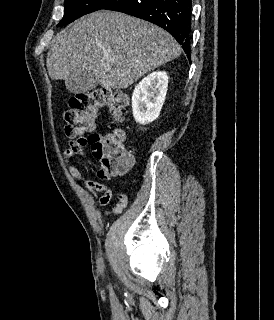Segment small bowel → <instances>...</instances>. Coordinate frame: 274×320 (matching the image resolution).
<instances>
[{"label":"small bowel","mask_w":274,"mask_h":320,"mask_svg":"<svg viewBox=\"0 0 274 320\" xmlns=\"http://www.w3.org/2000/svg\"><path fill=\"white\" fill-rule=\"evenodd\" d=\"M87 130L88 131H95L96 130V119H87ZM90 144L89 138L87 137H78L76 139H72L68 142L66 148L63 152L64 161L67 165V169L72 176V178L83 188L85 189L97 202V204L101 207L108 205L113 197V193L111 189L105 185L104 183L91 180L85 178L80 170L72 164V160L77 157H86V154L83 148ZM94 154L98 158H102L103 154L99 150H94ZM127 161H134V158L131 154H128ZM131 168H123L121 174L127 173ZM98 176L101 179H107L106 172L102 169L98 172ZM99 193L101 195L99 196ZM129 198L126 197H117V203L115 206L104 212V216L108 217L112 214L117 215L123 212L125 208L128 206Z\"/></svg>","instance_id":"obj_1"}]
</instances>
